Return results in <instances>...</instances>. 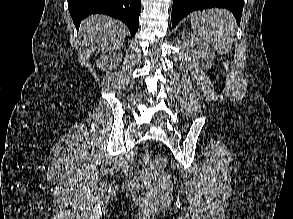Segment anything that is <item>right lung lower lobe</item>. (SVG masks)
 <instances>
[{"label": "right lung lower lobe", "mask_w": 293, "mask_h": 219, "mask_svg": "<svg viewBox=\"0 0 293 219\" xmlns=\"http://www.w3.org/2000/svg\"><path fill=\"white\" fill-rule=\"evenodd\" d=\"M68 9L77 29L88 15L102 13L123 21L134 36L139 27L141 0H68Z\"/></svg>", "instance_id": "98d812e1"}]
</instances>
